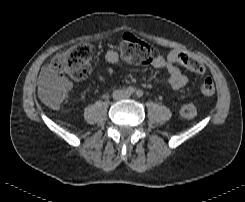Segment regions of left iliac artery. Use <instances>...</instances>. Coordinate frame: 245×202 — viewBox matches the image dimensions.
<instances>
[{
  "mask_svg": "<svg viewBox=\"0 0 245 202\" xmlns=\"http://www.w3.org/2000/svg\"><path fill=\"white\" fill-rule=\"evenodd\" d=\"M136 96H137L138 98H141V97L143 96V91H142V90H137V91H136Z\"/></svg>",
  "mask_w": 245,
  "mask_h": 202,
  "instance_id": "1",
  "label": "left iliac artery"
}]
</instances>
